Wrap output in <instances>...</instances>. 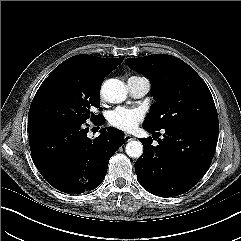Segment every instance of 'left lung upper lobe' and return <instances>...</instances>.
<instances>
[{"label": "left lung upper lobe", "instance_id": "1", "mask_svg": "<svg viewBox=\"0 0 241 241\" xmlns=\"http://www.w3.org/2000/svg\"><path fill=\"white\" fill-rule=\"evenodd\" d=\"M125 63L147 76L156 101L143 127L154 130L173 125L219 128L211 92L197 72L181 59L167 54L128 58Z\"/></svg>", "mask_w": 241, "mask_h": 241}]
</instances>
